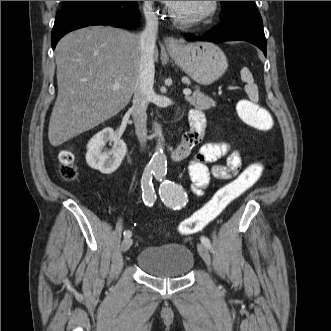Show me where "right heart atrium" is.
<instances>
[{"instance_id": "obj_1", "label": "right heart atrium", "mask_w": 331, "mask_h": 331, "mask_svg": "<svg viewBox=\"0 0 331 331\" xmlns=\"http://www.w3.org/2000/svg\"><path fill=\"white\" fill-rule=\"evenodd\" d=\"M154 1H143V10L146 16H154L155 10L153 9Z\"/></svg>"}]
</instances>
